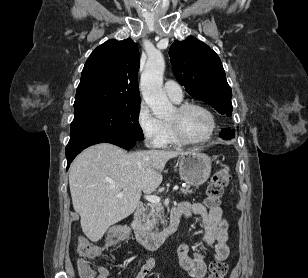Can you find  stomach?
<instances>
[{
	"mask_svg": "<svg viewBox=\"0 0 308 278\" xmlns=\"http://www.w3.org/2000/svg\"><path fill=\"white\" fill-rule=\"evenodd\" d=\"M211 173V158L197 150L185 152L179 157V175L188 186L204 184Z\"/></svg>",
	"mask_w": 308,
	"mask_h": 278,
	"instance_id": "0dacf381",
	"label": "stomach"
}]
</instances>
